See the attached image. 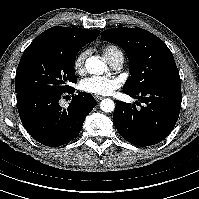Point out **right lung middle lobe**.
<instances>
[{"instance_id":"obj_1","label":"right lung middle lobe","mask_w":199,"mask_h":199,"mask_svg":"<svg viewBox=\"0 0 199 199\" xmlns=\"http://www.w3.org/2000/svg\"><path fill=\"white\" fill-rule=\"evenodd\" d=\"M80 48L69 50L32 42L24 51L17 68L16 93L35 90L64 93L72 89L69 84L77 82L74 65Z\"/></svg>"}]
</instances>
